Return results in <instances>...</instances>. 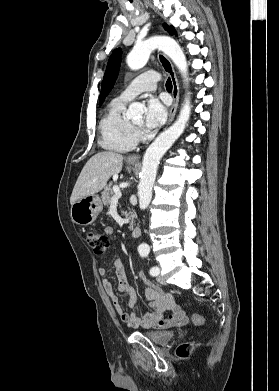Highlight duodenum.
<instances>
[{"label": "duodenum", "instance_id": "duodenum-1", "mask_svg": "<svg viewBox=\"0 0 279 391\" xmlns=\"http://www.w3.org/2000/svg\"><path fill=\"white\" fill-rule=\"evenodd\" d=\"M141 235V230L138 226H134L131 230V237L137 239Z\"/></svg>", "mask_w": 279, "mask_h": 391}]
</instances>
